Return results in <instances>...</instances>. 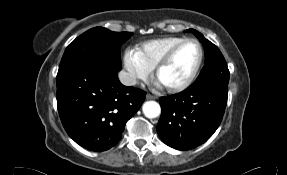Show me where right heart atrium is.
Wrapping results in <instances>:
<instances>
[{
    "label": "right heart atrium",
    "mask_w": 287,
    "mask_h": 175,
    "mask_svg": "<svg viewBox=\"0 0 287 175\" xmlns=\"http://www.w3.org/2000/svg\"><path fill=\"white\" fill-rule=\"evenodd\" d=\"M123 64L128 73V81L131 84H135L137 81H147L151 76V69L142 62L133 49L125 50Z\"/></svg>",
    "instance_id": "right-heart-atrium-1"
}]
</instances>
